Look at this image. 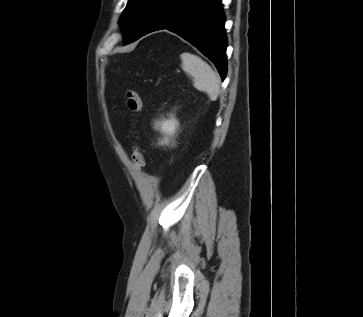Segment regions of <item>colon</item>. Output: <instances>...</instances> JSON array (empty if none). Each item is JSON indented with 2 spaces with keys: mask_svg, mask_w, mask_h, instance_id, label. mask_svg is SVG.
Instances as JSON below:
<instances>
[{
  "mask_svg": "<svg viewBox=\"0 0 363 317\" xmlns=\"http://www.w3.org/2000/svg\"><path fill=\"white\" fill-rule=\"evenodd\" d=\"M126 104L131 112H140L142 108V99L140 94L136 90L128 89L126 92ZM132 162L137 168H141L145 162L144 154L137 146L134 147L132 153Z\"/></svg>",
  "mask_w": 363,
  "mask_h": 317,
  "instance_id": "5ec220e1",
  "label": "colon"
}]
</instances>
